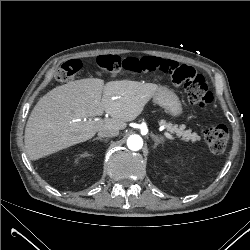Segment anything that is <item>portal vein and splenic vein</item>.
Returning a JSON list of instances; mask_svg holds the SVG:
<instances>
[{
  "label": "portal vein and splenic vein",
  "mask_w": 250,
  "mask_h": 250,
  "mask_svg": "<svg viewBox=\"0 0 250 250\" xmlns=\"http://www.w3.org/2000/svg\"><path fill=\"white\" fill-rule=\"evenodd\" d=\"M165 136H166L168 139H171V140H174V139H175L171 134H169V133H167V132H165Z\"/></svg>",
  "instance_id": "1"
}]
</instances>
